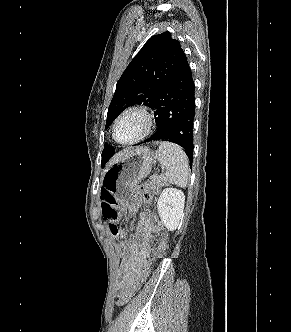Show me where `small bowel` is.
<instances>
[{
	"instance_id": "c3829d8e",
	"label": "small bowel",
	"mask_w": 291,
	"mask_h": 332,
	"mask_svg": "<svg viewBox=\"0 0 291 332\" xmlns=\"http://www.w3.org/2000/svg\"><path fill=\"white\" fill-rule=\"evenodd\" d=\"M160 231L159 221L150 214H143L133 236L122 244L121 248L125 256L121 264L119 293L125 291L141 269L147 265L152 251L150 242L158 237ZM161 248L163 243L159 242L158 249Z\"/></svg>"
}]
</instances>
